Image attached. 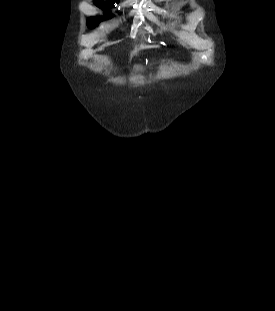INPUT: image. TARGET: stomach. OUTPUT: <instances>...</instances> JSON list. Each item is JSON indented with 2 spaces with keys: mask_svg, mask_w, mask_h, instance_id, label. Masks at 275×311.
Wrapping results in <instances>:
<instances>
[{
  "mask_svg": "<svg viewBox=\"0 0 275 311\" xmlns=\"http://www.w3.org/2000/svg\"><path fill=\"white\" fill-rule=\"evenodd\" d=\"M141 69V66L137 65L134 67V76L133 77H136V74L137 72Z\"/></svg>",
  "mask_w": 275,
  "mask_h": 311,
  "instance_id": "1",
  "label": "stomach"
}]
</instances>
